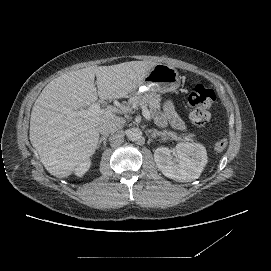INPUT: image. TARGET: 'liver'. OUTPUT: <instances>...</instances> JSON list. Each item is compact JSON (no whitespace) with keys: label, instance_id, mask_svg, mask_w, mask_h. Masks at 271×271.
<instances>
[{"label":"liver","instance_id":"obj_1","mask_svg":"<svg viewBox=\"0 0 271 271\" xmlns=\"http://www.w3.org/2000/svg\"><path fill=\"white\" fill-rule=\"evenodd\" d=\"M155 65L146 60L91 66L66 72L46 85L32 109L30 141L52 176L71 177L78 165L94 157L99 125L109 121L124 124L113 105L88 116L77 112L95 103L97 96L101 100L129 97Z\"/></svg>","mask_w":271,"mask_h":271}]
</instances>
